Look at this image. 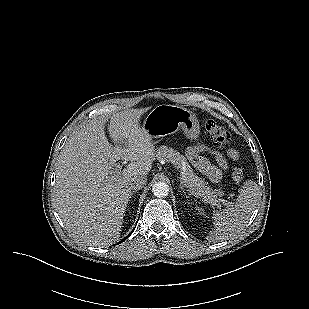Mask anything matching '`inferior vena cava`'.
Listing matches in <instances>:
<instances>
[{
  "mask_svg": "<svg viewBox=\"0 0 309 309\" xmlns=\"http://www.w3.org/2000/svg\"><path fill=\"white\" fill-rule=\"evenodd\" d=\"M146 182L147 178L145 175H135L128 180L127 185L131 190H137L144 187V185H146Z\"/></svg>",
  "mask_w": 309,
  "mask_h": 309,
  "instance_id": "602c4592",
  "label": "inferior vena cava"
}]
</instances>
